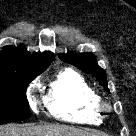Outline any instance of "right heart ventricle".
I'll use <instances>...</instances> for the list:
<instances>
[{
    "mask_svg": "<svg viewBox=\"0 0 136 136\" xmlns=\"http://www.w3.org/2000/svg\"><path fill=\"white\" fill-rule=\"evenodd\" d=\"M46 102L56 118L76 124H97L100 96L91 84L73 69L61 71L50 85Z\"/></svg>",
    "mask_w": 136,
    "mask_h": 136,
    "instance_id": "obj_1",
    "label": "right heart ventricle"
}]
</instances>
